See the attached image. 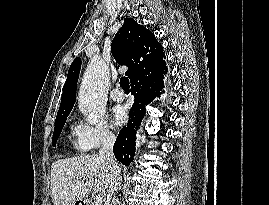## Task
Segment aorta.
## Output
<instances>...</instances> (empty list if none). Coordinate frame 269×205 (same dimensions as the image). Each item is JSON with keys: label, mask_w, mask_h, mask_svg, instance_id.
Returning a JSON list of instances; mask_svg holds the SVG:
<instances>
[{"label": "aorta", "mask_w": 269, "mask_h": 205, "mask_svg": "<svg viewBox=\"0 0 269 205\" xmlns=\"http://www.w3.org/2000/svg\"><path fill=\"white\" fill-rule=\"evenodd\" d=\"M108 68L100 58H92L79 91V109L89 124H97L106 114ZM114 205H120L116 201Z\"/></svg>", "instance_id": "1"}]
</instances>
